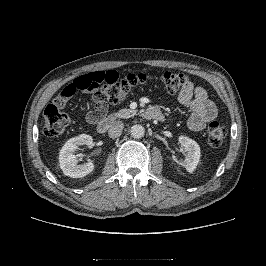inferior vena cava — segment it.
Here are the masks:
<instances>
[{
    "mask_svg": "<svg viewBox=\"0 0 266 266\" xmlns=\"http://www.w3.org/2000/svg\"><path fill=\"white\" fill-rule=\"evenodd\" d=\"M124 128V124L121 121H115L113 124H111L108 135L110 138H117L122 134Z\"/></svg>",
    "mask_w": 266,
    "mask_h": 266,
    "instance_id": "1",
    "label": "inferior vena cava"
}]
</instances>
